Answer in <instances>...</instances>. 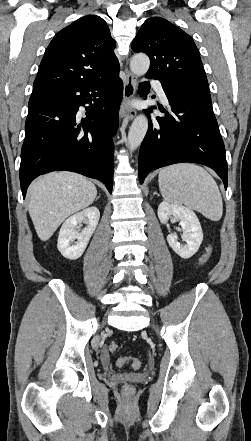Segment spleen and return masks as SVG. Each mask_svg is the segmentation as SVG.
Wrapping results in <instances>:
<instances>
[{
	"mask_svg": "<svg viewBox=\"0 0 251 441\" xmlns=\"http://www.w3.org/2000/svg\"><path fill=\"white\" fill-rule=\"evenodd\" d=\"M158 183L161 195L168 203L184 204L212 221L221 219V193L203 167L192 163L170 165L160 170Z\"/></svg>",
	"mask_w": 251,
	"mask_h": 441,
	"instance_id": "3e777b00",
	"label": "spleen"
}]
</instances>
